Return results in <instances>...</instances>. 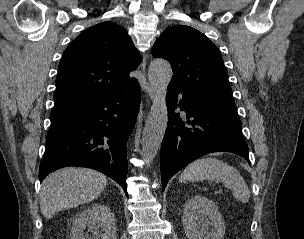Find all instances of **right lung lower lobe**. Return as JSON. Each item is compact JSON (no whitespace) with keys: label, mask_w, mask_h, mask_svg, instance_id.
Here are the masks:
<instances>
[{"label":"right lung lower lobe","mask_w":304,"mask_h":239,"mask_svg":"<svg viewBox=\"0 0 304 239\" xmlns=\"http://www.w3.org/2000/svg\"><path fill=\"white\" fill-rule=\"evenodd\" d=\"M141 98L137 79L76 110L51 116L39 180L67 166L98 170L127 195L126 144Z\"/></svg>","instance_id":"98d812e1"}]
</instances>
